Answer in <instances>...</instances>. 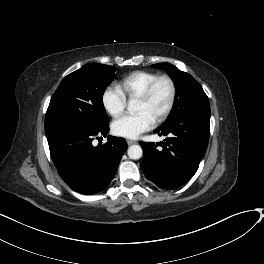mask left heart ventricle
Here are the masks:
<instances>
[{"label": "left heart ventricle", "instance_id": "obj_1", "mask_svg": "<svg viewBox=\"0 0 264 264\" xmlns=\"http://www.w3.org/2000/svg\"><path fill=\"white\" fill-rule=\"evenodd\" d=\"M170 97V86L168 82L161 81L157 84L151 98L147 101H137L136 112H146L154 120L165 109Z\"/></svg>", "mask_w": 264, "mask_h": 264}]
</instances>
